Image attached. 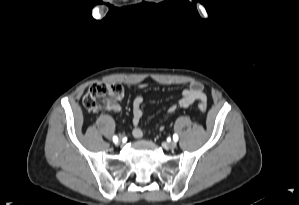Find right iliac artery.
Wrapping results in <instances>:
<instances>
[{"mask_svg": "<svg viewBox=\"0 0 299 205\" xmlns=\"http://www.w3.org/2000/svg\"><path fill=\"white\" fill-rule=\"evenodd\" d=\"M113 142H115V143L118 142V138H117V136H114V137H113Z\"/></svg>", "mask_w": 299, "mask_h": 205, "instance_id": "1", "label": "right iliac artery"}]
</instances>
